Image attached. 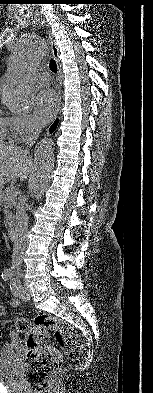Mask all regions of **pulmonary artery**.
I'll use <instances>...</instances> for the list:
<instances>
[{"label": "pulmonary artery", "mask_w": 153, "mask_h": 393, "mask_svg": "<svg viewBox=\"0 0 153 393\" xmlns=\"http://www.w3.org/2000/svg\"><path fill=\"white\" fill-rule=\"evenodd\" d=\"M35 80L37 84L41 86L48 85L50 82V77L48 73H38L35 75Z\"/></svg>", "instance_id": "1"}]
</instances>
